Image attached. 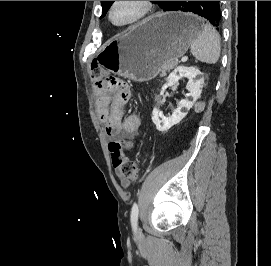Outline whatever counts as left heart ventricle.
<instances>
[{
    "instance_id": "obj_1",
    "label": "left heart ventricle",
    "mask_w": 271,
    "mask_h": 266,
    "mask_svg": "<svg viewBox=\"0 0 271 266\" xmlns=\"http://www.w3.org/2000/svg\"><path fill=\"white\" fill-rule=\"evenodd\" d=\"M140 11L137 1H120L113 10V19L117 23L132 20Z\"/></svg>"
}]
</instances>
